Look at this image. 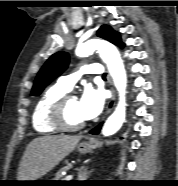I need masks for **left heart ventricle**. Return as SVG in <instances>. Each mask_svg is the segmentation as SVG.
Returning a JSON list of instances; mask_svg holds the SVG:
<instances>
[{
    "label": "left heart ventricle",
    "mask_w": 178,
    "mask_h": 186,
    "mask_svg": "<svg viewBox=\"0 0 178 186\" xmlns=\"http://www.w3.org/2000/svg\"><path fill=\"white\" fill-rule=\"evenodd\" d=\"M66 120L70 124H79L85 121L80 113L79 100L76 97H72L67 103Z\"/></svg>",
    "instance_id": "obj_1"
}]
</instances>
